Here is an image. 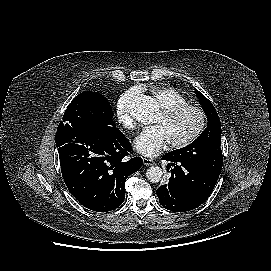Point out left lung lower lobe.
Instances as JSON below:
<instances>
[{"mask_svg": "<svg viewBox=\"0 0 271 271\" xmlns=\"http://www.w3.org/2000/svg\"><path fill=\"white\" fill-rule=\"evenodd\" d=\"M172 166L169 182L157 189L159 203L166 209L186 212L199 207L212 193L218 177L203 168L180 161L170 153L162 157Z\"/></svg>", "mask_w": 271, "mask_h": 271, "instance_id": "left-lung-lower-lobe-1", "label": "left lung lower lobe"}]
</instances>
